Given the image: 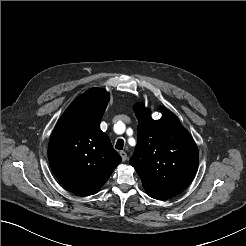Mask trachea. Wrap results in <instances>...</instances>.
<instances>
[{"mask_svg":"<svg viewBox=\"0 0 246 246\" xmlns=\"http://www.w3.org/2000/svg\"><path fill=\"white\" fill-rule=\"evenodd\" d=\"M124 146V140L123 139H118L115 148L118 150H122Z\"/></svg>","mask_w":246,"mask_h":246,"instance_id":"3493384b","label":"trachea"}]
</instances>
